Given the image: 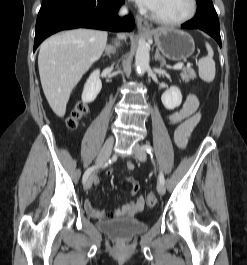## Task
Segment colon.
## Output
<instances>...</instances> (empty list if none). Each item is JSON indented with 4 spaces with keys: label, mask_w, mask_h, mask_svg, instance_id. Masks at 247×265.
Masks as SVG:
<instances>
[{
    "label": "colon",
    "mask_w": 247,
    "mask_h": 265,
    "mask_svg": "<svg viewBox=\"0 0 247 265\" xmlns=\"http://www.w3.org/2000/svg\"><path fill=\"white\" fill-rule=\"evenodd\" d=\"M88 113H89V107L86 103L77 104L67 121L68 128L71 130L78 128L81 125L83 119L88 115ZM130 186L133 192H136L139 188V185L135 180L130 181ZM156 204H157L156 195L152 192L149 193L146 196V205L148 207H154Z\"/></svg>",
    "instance_id": "5ec220e1"
}]
</instances>
